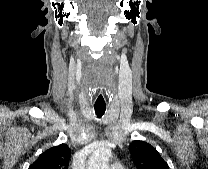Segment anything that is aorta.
<instances>
[{
    "label": "aorta",
    "mask_w": 208,
    "mask_h": 169,
    "mask_svg": "<svg viewBox=\"0 0 208 169\" xmlns=\"http://www.w3.org/2000/svg\"><path fill=\"white\" fill-rule=\"evenodd\" d=\"M111 150L106 146H99L89 158L88 169H108Z\"/></svg>",
    "instance_id": "1"
}]
</instances>
